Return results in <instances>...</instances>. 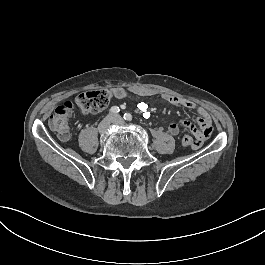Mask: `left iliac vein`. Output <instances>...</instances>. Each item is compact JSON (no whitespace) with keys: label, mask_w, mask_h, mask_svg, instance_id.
Segmentation results:
<instances>
[{"label":"left iliac vein","mask_w":265,"mask_h":265,"mask_svg":"<svg viewBox=\"0 0 265 265\" xmlns=\"http://www.w3.org/2000/svg\"><path fill=\"white\" fill-rule=\"evenodd\" d=\"M111 122L113 124H119V125H124V123H125L123 118L119 115L111 116Z\"/></svg>","instance_id":"1"}]
</instances>
